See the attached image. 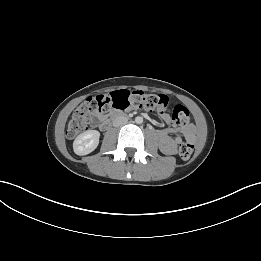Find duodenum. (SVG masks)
I'll return each mask as SVG.
<instances>
[{
  "label": "duodenum",
  "mask_w": 261,
  "mask_h": 261,
  "mask_svg": "<svg viewBox=\"0 0 261 261\" xmlns=\"http://www.w3.org/2000/svg\"><path fill=\"white\" fill-rule=\"evenodd\" d=\"M124 115L119 113V112H114L112 113V115L110 116V118L104 120L101 122L100 124V129L101 130H107L108 128H110V126L112 125L113 121L122 118Z\"/></svg>",
  "instance_id": "duodenum-1"
}]
</instances>
